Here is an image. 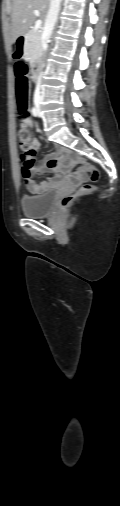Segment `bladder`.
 <instances>
[{"mask_svg": "<svg viewBox=\"0 0 120 506\" xmlns=\"http://www.w3.org/2000/svg\"><path fill=\"white\" fill-rule=\"evenodd\" d=\"M55 199V190H49L38 195H23L20 198L22 212L32 218L45 217L48 215Z\"/></svg>", "mask_w": 120, "mask_h": 506, "instance_id": "1", "label": "bladder"}]
</instances>
